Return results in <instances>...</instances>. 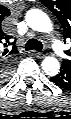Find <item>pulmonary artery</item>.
<instances>
[{
    "label": "pulmonary artery",
    "mask_w": 71,
    "mask_h": 119,
    "mask_svg": "<svg viewBox=\"0 0 71 119\" xmlns=\"http://www.w3.org/2000/svg\"><path fill=\"white\" fill-rule=\"evenodd\" d=\"M53 47L58 55H63V48L59 42L55 41Z\"/></svg>",
    "instance_id": "obj_1"
}]
</instances>
